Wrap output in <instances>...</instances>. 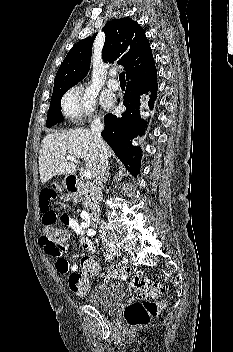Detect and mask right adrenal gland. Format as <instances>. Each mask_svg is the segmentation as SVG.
I'll list each match as a JSON object with an SVG mask.
<instances>
[{"label": "right adrenal gland", "instance_id": "1", "mask_svg": "<svg viewBox=\"0 0 233 352\" xmlns=\"http://www.w3.org/2000/svg\"><path fill=\"white\" fill-rule=\"evenodd\" d=\"M109 170H110V165L108 166V169H107V172H106V174H105V177H104V181H103V183H106V182H107V180H108V177H109V175H110Z\"/></svg>", "mask_w": 233, "mask_h": 352}]
</instances>
